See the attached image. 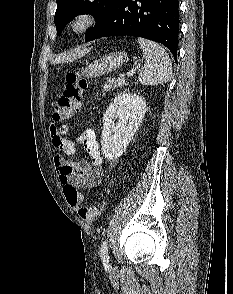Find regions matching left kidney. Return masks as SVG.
I'll list each match as a JSON object with an SVG mask.
<instances>
[{
	"label": "left kidney",
	"mask_w": 233,
	"mask_h": 294,
	"mask_svg": "<svg viewBox=\"0 0 233 294\" xmlns=\"http://www.w3.org/2000/svg\"><path fill=\"white\" fill-rule=\"evenodd\" d=\"M145 112L146 101L142 96L123 92L115 97L103 116L101 145L108 160H115L125 152Z\"/></svg>",
	"instance_id": "obj_1"
}]
</instances>
